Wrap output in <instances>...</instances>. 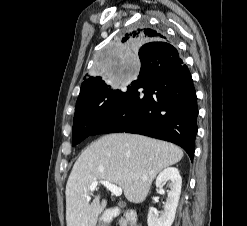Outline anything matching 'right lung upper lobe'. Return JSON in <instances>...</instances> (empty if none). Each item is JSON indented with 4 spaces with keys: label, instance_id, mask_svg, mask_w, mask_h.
I'll return each instance as SVG.
<instances>
[{
    "label": "right lung upper lobe",
    "instance_id": "1",
    "mask_svg": "<svg viewBox=\"0 0 247 226\" xmlns=\"http://www.w3.org/2000/svg\"><path fill=\"white\" fill-rule=\"evenodd\" d=\"M121 40L123 43L126 41L151 43L156 41H166V36L150 27L144 26L125 33ZM100 82L101 80L99 78L89 76L81 85L79 97L96 88Z\"/></svg>",
    "mask_w": 247,
    "mask_h": 226
}]
</instances>
